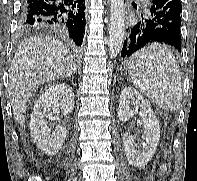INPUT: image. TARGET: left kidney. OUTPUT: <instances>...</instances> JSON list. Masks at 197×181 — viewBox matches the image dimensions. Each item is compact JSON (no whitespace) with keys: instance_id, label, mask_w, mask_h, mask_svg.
I'll return each mask as SVG.
<instances>
[{"instance_id":"obj_1","label":"left kidney","mask_w":197,"mask_h":181,"mask_svg":"<svg viewBox=\"0 0 197 181\" xmlns=\"http://www.w3.org/2000/svg\"><path fill=\"white\" fill-rule=\"evenodd\" d=\"M131 104L135 105V109H130ZM135 113H139L141 117L138 124L145 128L141 149L135 148L134 139L130 132L124 134L123 142L128 162L139 168L144 167L155 154L160 138V126L148 101L135 88L128 86L123 89L120 95L118 117L121 121H128Z\"/></svg>"}]
</instances>
